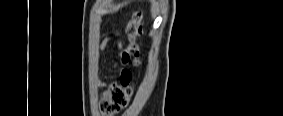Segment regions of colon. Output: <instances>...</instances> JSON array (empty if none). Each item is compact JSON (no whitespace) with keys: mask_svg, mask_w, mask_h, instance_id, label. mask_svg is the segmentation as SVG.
Masks as SVG:
<instances>
[{"mask_svg":"<svg viewBox=\"0 0 283 116\" xmlns=\"http://www.w3.org/2000/svg\"><path fill=\"white\" fill-rule=\"evenodd\" d=\"M141 29V16L135 15L126 24L125 32L129 38V44L124 51L127 58H132L135 64L141 59V49L136 42V37ZM133 93L132 75H121L118 82H112L106 86L101 94L99 110L103 115H112L127 106Z\"/></svg>","mask_w":283,"mask_h":116,"instance_id":"colon-1","label":"colon"}]
</instances>
